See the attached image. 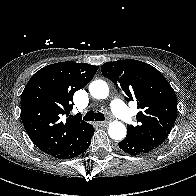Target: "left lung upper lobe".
<instances>
[{"label":"left lung upper lobe","mask_w":196,"mask_h":196,"mask_svg":"<svg viewBox=\"0 0 196 196\" xmlns=\"http://www.w3.org/2000/svg\"><path fill=\"white\" fill-rule=\"evenodd\" d=\"M102 74L126 94L136 99L139 125L127 128V137L154 148L170 133L177 117V97L165 77L153 66L138 60L104 63Z\"/></svg>","instance_id":"5c2ea615"}]
</instances>
